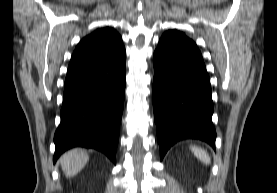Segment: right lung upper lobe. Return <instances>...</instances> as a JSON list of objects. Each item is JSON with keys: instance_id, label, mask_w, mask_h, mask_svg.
<instances>
[{"instance_id": "cb5924a9", "label": "right lung upper lobe", "mask_w": 277, "mask_h": 193, "mask_svg": "<svg viewBox=\"0 0 277 193\" xmlns=\"http://www.w3.org/2000/svg\"><path fill=\"white\" fill-rule=\"evenodd\" d=\"M124 49L120 35L113 28L97 29L84 37L72 55L68 72L91 68L116 56Z\"/></svg>"}]
</instances>
